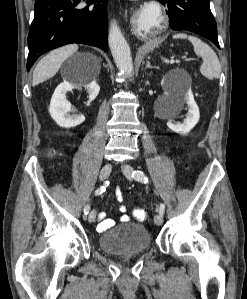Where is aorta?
<instances>
[{"label": "aorta", "instance_id": "1", "mask_svg": "<svg viewBox=\"0 0 247 299\" xmlns=\"http://www.w3.org/2000/svg\"><path fill=\"white\" fill-rule=\"evenodd\" d=\"M108 43L117 68L131 77L133 62L130 47L115 21L110 24Z\"/></svg>", "mask_w": 247, "mask_h": 299}]
</instances>
